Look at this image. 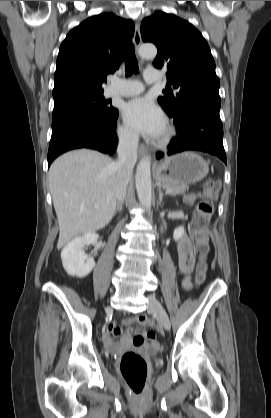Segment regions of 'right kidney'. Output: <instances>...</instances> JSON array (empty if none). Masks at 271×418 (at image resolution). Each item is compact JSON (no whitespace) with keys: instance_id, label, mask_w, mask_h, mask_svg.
<instances>
[{"instance_id":"right-kidney-1","label":"right kidney","mask_w":271,"mask_h":418,"mask_svg":"<svg viewBox=\"0 0 271 418\" xmlns=\"http://www.w3.org/2000/svg\"><path fill=\"white\" fill-rule=\"evenodd\" d=\"M99 235L94 232L84 233L70 241L61 252L62 264L67 274L76 277L87 276L95 267L93 257H88L83 248L97 243Z\"/></svg>"}]
</instances>
